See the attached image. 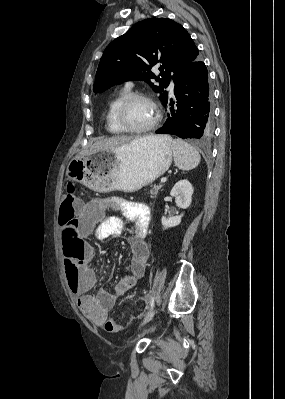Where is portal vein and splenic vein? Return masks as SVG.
Here are the masks:
<instances>
[{
	"mask_svg": "<svg viewBox=\"0 0 285 399\" xmlns=\"http://www.w3.org/2000/svg\"><path fill=\"white\" fill-rule=\"evenodd\" d=\"M167 181V178L163 177L161 178V183H165Z\"/></svg>",
	"mask_w": 285,
	"mask_h": 399,
	"instance_id": "18ae733b",
	"label": "portal vein and splenic vein"
}]
</instances>
